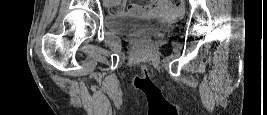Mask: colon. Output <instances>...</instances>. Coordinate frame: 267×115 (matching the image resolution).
Returning a JSON list of instances; mask_svg holds the SVG:
<instances>
[{
  "label": "colon",
  "instance_id": "colon-1",
  "mask_svg": "<svg viewBox=\"0 0 267 115\" xmlns=\"http://www.w3.org/2000/svg\"><path fill=\"white\" fill-rule=\"evenodd\" d=\"M173 5L180 6L182 4V0H173L171 1ZM108 12L110 14H120L125 12V7L121 4H111L109 6Z\"/></svg>",
  "mask_w": 267,
  "mask_h": 115
}]
</instances>
